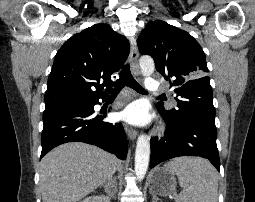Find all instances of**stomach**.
Instances as JSON below:
<instances>
[{"label":"stomach","instance_id":"1","mask_svg":"<svg viewBox=\"0 0 255 202\" xmlns=\"http://www.w3.org/2000/svg\"><path fill=\"white\" fill-rule=\"evenodd\" d=\"M149 190L153 195L171 196L175 195L176 178L174 174L164 167L154 169L149 175Z\"/></svg>","mask_w":255,"mask_h":202}]
</instances>
